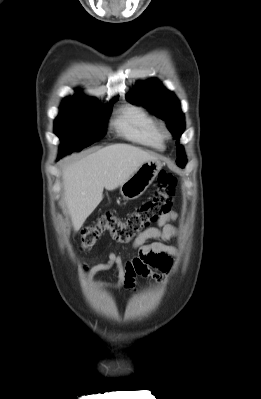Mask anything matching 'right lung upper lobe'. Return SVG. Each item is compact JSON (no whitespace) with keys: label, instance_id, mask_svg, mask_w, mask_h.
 Here are the masks:
<instances>
[{"label":"right lung upper lobe","instance_id":"obj_1","mask_svg":"<svg viewBox=\"0 0 261 399\" xmlns=\"http://www.w3.org/2000/svg\"><path fill=\"white\" fill-rule=\"evenodd\" d=\"M86 100H96L94 98H90V97H86L84 95L78 94L72 97H67L64 99V101H68V102H78V101H86Z\"/></svg>","mask_w":261,"mask_h":399}]
</instances>
